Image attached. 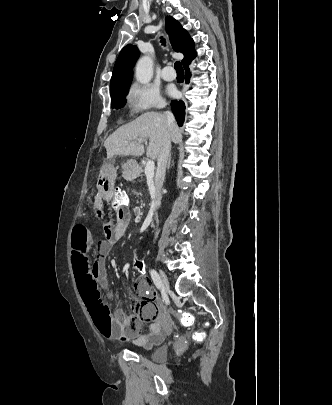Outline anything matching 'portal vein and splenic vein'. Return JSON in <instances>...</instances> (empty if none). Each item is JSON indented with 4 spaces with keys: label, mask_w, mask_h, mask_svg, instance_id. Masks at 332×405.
Returning a JSON list of instances; mask_svg holds the SVG:
<instances>
[{
    "label": "portal vein and splenic vein",
    "mask_w": 332,
    "mask_h": 405,
    "mask_svg": "<svg viewBox=\"0 0 332 405\" xmlns=\"http://www.w3.org/2000/svg\"><path fill=\"white\" fill-rule=\"evenodd\" d=\"M141 142V139H138ZM155 164L153 160H148L145 166V175L147 180L154 176Z\"/></svg>",
    "instance_id": "18ae733b"
}]
</instances>
